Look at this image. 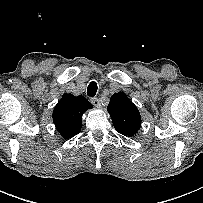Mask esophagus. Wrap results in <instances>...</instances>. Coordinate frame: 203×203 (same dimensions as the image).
I'll return each mask as SVG.
<instances>
[{
  "label": "esophagus",
  "mask_w": 203,
  "mask_h": 203,
  "mask_svg": "<svg viewBox=\"0 0 203 203\" xmlns=\"http://www.w3.org/2000/svg\"><path fill=\"white\" fill-rule=\"evenodd\" d=\"M91 103L94 105V106H96V107H100V100L98 99V98H96V97H93V98H91Z\"/></svg>",
  "instance_id": "obj_1"
}]
</instances>
